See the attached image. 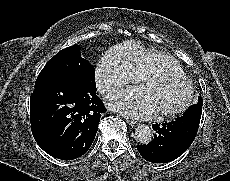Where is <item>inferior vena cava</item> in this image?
I'll return each instance as SVG.
<instances>
[{
    "instance_id": "obj_1",
    "label": "inferior vena cava",
    "mask_w": 230,
    "mask_h": 181,
    "mask_svg": "<svg viewBox=\"0 0 230 181\" xmlns=\"http://www.w3.org/2000/svg\"><path fill=\"white\" fill-rule=\"evenodd\" d=\"M98 90L101 92V91H105V87L103 85H100Z\"/></svg>"
}]
</instances>
